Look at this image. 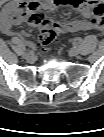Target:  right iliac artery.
<instances>
[{"label": "right iliac artery", "instance_id": "right-iliac-artery-1", "mask_svg": "<svg viewBox=\"0 0 104 137\" xmlns=\"http://www.w3.org/2000/svg\"><path fill=\"white\" fill-rule=\"evenodd\" d=\"M26 51H28V52H34V49L26 48Z\"/></svg>", "mask_w": 104, "mask_h": 137}]
</instances>
